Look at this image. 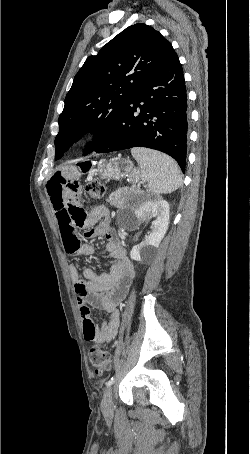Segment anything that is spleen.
Wrapping results in <instances>:
<instances>
[{
    "mask_svg": "<svg viewBox=\"0 0 250 454\" xmlns=\"http://www.w3.org/2000/svg\"><path fill=\"white\" fill-rule=\"evenodd\" d=\"M131 153L138 162L142 177L148 182L152 194L171 193L181 185L180 169L168 155L145 148H133Z\"/></svg>",
    "mask_w": 250,
    "mask_h": 454,
    "instance_id": "spleen-1",
    "label": "spleen"
}]
</instances>
